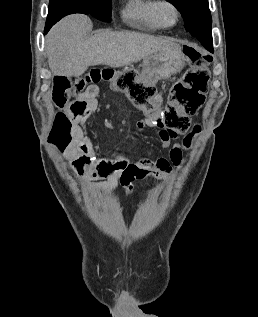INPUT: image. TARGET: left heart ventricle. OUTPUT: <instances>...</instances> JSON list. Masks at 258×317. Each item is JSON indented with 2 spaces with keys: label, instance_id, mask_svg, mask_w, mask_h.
Returning a JSON list of instances; mask_svg holds the SVG:
<instances>
[{
  "label": "left heart ventricle",
  "instance_id": "left-heart-ventricle-1",
  "mask_svg": "<svg viewBox=\"0 0 258 317\" xmlns=\"http://www.w3.org/2000/svg\"><path fill=\"white\" fill-rule=\"evenodd\" d=\"M161 15L165 20L170 21L173 18V11L171 8L167 7L162 11Z\"/></svg>",
  "mask_w": 258,
  "mask_h": 317
}]
</instances>
